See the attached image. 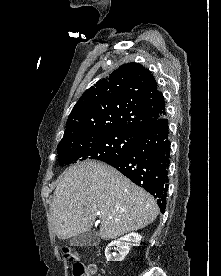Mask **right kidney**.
<instances>
[{
    "mask_svg": "<svg viewBox=\"0 0 221 276\" xmlns=\"http://www.w3.org/2000/svg\"><path fill=\"white\" fill-rule=\"evenodd\" d=\"M142 236L138 233H129L120 239L114 240L109 243L105 249V256L108 261H123L125 256L129 253L131 246H139ZM117 247L119 254L112 257L110 253L111 247Z\"/></svg>",
    "mask_w": 221,
    "mask_h": 276,
    "instance_id": "1",
    "label": "right kidney"
}]
</instances>
